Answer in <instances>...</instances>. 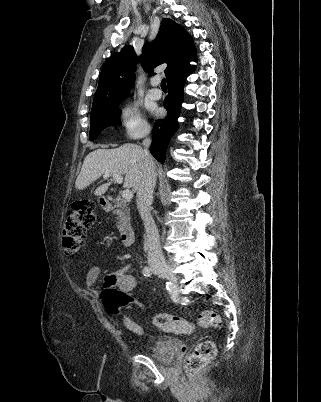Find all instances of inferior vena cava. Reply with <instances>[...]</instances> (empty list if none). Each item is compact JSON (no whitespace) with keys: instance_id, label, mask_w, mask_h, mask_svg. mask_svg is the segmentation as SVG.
<instances>
[{"instance_id":"obj_1","label":"inferior vena cava","mask_w":321,"mask_h":402,"mask_svg":"<svg viewBox=\"0 0 321 402\" xmlns=\"http://www.w3.org/2000/svg\"><path fill=\"white\" fill-rule=\"evenodd\" d=\"M148 134L149 129L144 132V136L146 137L143 141L144 170L141 183L137 190L136 202L146 233L148 263L151 267H165L166 262L161 249L159 232L150 212L157 175L154 160L148 151L151 144L150 138H147Z\"/></svg>"}]
</instances>
